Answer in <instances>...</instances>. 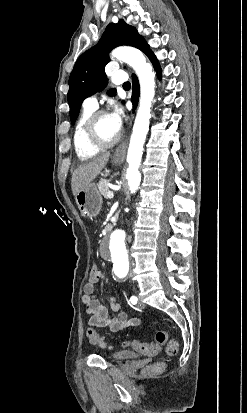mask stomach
Wrapping results in <instances>:
<instances>
[{
	"label": "stomach",
	"mask_w": 247,
	"mask_h": 413,
	"mask_svg": "<svg viewBox=\"0 0 247 413\" xmlns=\"http://www.w3.org/2000/svg\"><path fill=\"white\" fill-rule=\"evenodd\" d=\"M123 156H114L113 162H122ZM82 217H96L102 207V196L94 182L79 190L75 196Z\"/></svg>",
	"instance_id": "obj_1"
}]
</instances>
